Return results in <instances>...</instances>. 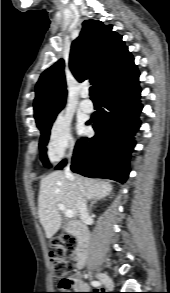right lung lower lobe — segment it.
<instances>
[{
    "label": "right lung lower lobe",
    "instance_id": "obj_1",
    "mask_svg": "<svg viewBox=\"0 0 170 293\" xmlns=\"http://www.w3.org/2000/svg\"><path fill=\"white\" fill-rule=\"evenodd\" d=\"M139 72L133 67L125 74L108 81L98 90L100 108L87 124L95 136L80 139L74 150L71 170L86 177L107 178L125 183L129 175L134 134L140 127ZM63 160L56 169H62Z\"/></svg>",
    "mask_w": 170,
    "mask_h": 293
}]
</instances>
